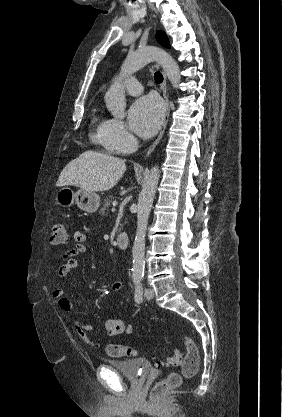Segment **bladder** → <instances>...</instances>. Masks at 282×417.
I'll return each instance as SVG.
<instances>
[{
    "label": "bladder",
    "instance_id": "obj_1",
    "mask_svg": "<svg viewBox=\"0 0 282 417\" xmlns=\"http://www.w3.org/2000/svg\"><path fill=\"white\" fill-rule=\"evenodd\" d=\"M105 363L120 372L134 385H141L151 371V363L145 358L107 359Z\"/></svg>",
    "mask_w": 282,
    "mask_h": 417
}]
</instances>
